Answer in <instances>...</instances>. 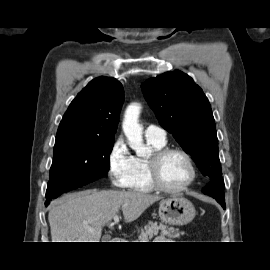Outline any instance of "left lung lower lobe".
Returning a JSON list of instances; mask_svg holds the SVG:
<instances>
[{
  "mask_svg": "<svg viewBox=\"0 0 270 270\" xmlns=\"http://www.w3.org/2000/svg\"><path fill=\"white\" fill-rule=\"evenodd\" d=\"M224 182L222 178H217L210 182L206 189L203 191L205 194L216 199L218 203L225 209V199H224Z\"/></svg>",
  "mask_w": 270,
  "mask_h": 270,
  "instance_id": "1",
  "label": "left lung lower lobe"
}]
</instances>
